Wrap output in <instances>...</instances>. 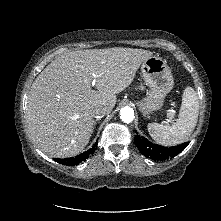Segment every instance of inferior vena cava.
<instances>
[{"label":"inferior vena cava","instance_id":"1","mask_svg":"<svg viewBox=\"0 0 221 221\" xmlns=\"http://www.w3.org/2000/svg\"><path fill=\"white\" fill-rule=\"evenodd\" d=\"M107 112H108L107 108L103 106H94L90 110L91 116L97 119L102 118Z\"/></svg>","mask_w":221,"mask_h":221}]
</instances>
